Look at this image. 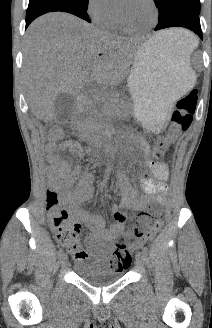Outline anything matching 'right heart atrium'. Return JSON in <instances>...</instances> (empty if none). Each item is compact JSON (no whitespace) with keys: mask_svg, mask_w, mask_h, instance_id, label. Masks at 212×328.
Here are the masks:
<instances>
[{"mask_svg":"<svg viewBox=\"0 0 212 328\" xmlns=\"http://www.w3.org/2000/svg\"><path fill=\"white\" fill-rule=\"evenodd\" d=\"M86 10L93 21L101 23L115 11L113 0H87Z\"/></svg>","mask_w":212,"mask_h":328,"instance_id":"obj_1","label":"right heart atrium"}]
</instances>
